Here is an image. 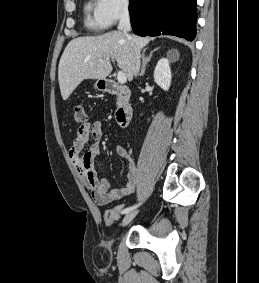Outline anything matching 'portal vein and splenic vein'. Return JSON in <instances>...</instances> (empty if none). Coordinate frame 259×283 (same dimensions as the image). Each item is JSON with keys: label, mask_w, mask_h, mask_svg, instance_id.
<instances>
[{"label": "portal vein and splenic vein", "mask_w": 259, "mask_h": 283, "mask_svg": "<svg viewBox=\"0 0 259 283\" xmlns=\"http://www.w3.org/2000/svg\"><path fill=\"white\" fill-rule=\"evenodd\" d=\"M106 60H110L109 58H106ZM117 80L120 84H125L127 81V77L123 71H119L117 74Z\"/></svg>", "instance_id": "1"}]
</instances>
